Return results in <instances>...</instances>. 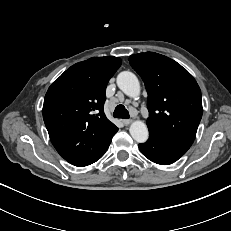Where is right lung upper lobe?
Wrapping results in <instances>:
<instances>
[{"label":"right lung upper lobe","mask_w":231,"mask_h":231,"mask_svg":"<svg viewBox=\"0 0 231 231\" xmlns=\"http://www.w3.org/2000/svg\"><path fill=\"white\" fill-rule=\"evenodd\" d=\"M121 65L119 57L90 58L66 70L48 89L43 119L57 152L83 167L96 162L118 128L103 111L109 79Z\"/></svg>","instance_id":"cb5924a9"}]
</instances>
